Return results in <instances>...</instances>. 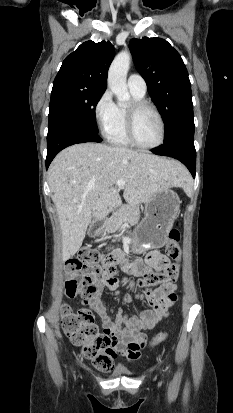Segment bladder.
<instances>
[{"label":"bladder","instance_id":"31cf9c89","mask_svg":"<svg viewBox=\"0 0 233 413\" xmlns=\"http://www.w3.org/2000/svg\"><path fill=\"white\" fill-rule=\"evenodd\" d=\"M114 375L115 376H129V375H131V372L127 371V370H118V371L115 372Z\"/></svg>","mask_w":233,"mask_h":413}]
</instances>
